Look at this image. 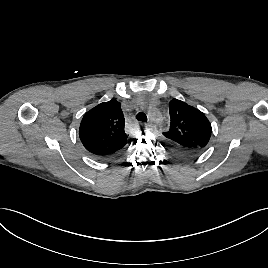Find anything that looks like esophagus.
Segmentation results:
<instances>
[{
	"mask_svg": "<svg viewBox=\"0 0 268 268\" xmlns=\"http://www.w3.org/2000/svg\"><path fill=\"white\" fill-rule=\"evenodd\" d=\"M143 126H147V124H142Z\"/></svg>",
	"mask_w": 268,
	"mask_h": 268,
	"instance_id": "1",
	"label": "esophagus"
}]
</instances>
